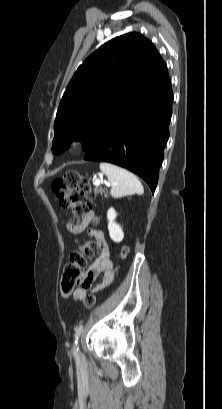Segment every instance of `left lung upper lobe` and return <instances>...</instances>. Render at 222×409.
Returning <instances> with one entry per match:
<instances>
[{
	"label": "left lung upper lobe",
	"mask_w": 222,
	"mask_h": 409,
	"mask_svg": "<svg viewBox=\"0 0 222 409\" xmlns=\"http://www.w3.org/2000/svg\"><path fill=\"white\" fill-rule=\"evenodd\" d=\"M168 76L157 49L141 34L108 41L78 67L69 82L54 123L52 152L61 153L73 140L88 149L125 105Z\"/></svg>",
	"instance_id": "5c2ea615"
}]
</instances>
